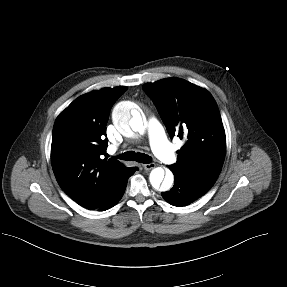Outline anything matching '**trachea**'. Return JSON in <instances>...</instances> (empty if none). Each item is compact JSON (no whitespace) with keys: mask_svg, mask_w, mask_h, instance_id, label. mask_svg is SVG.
<instances>
[{"mask_svg":"<svg viewBox=\"0 0 287 287\" xmlns=\"http://www.w3.org/2000/svg\"><path fill=\"white\" fill-rule=\"evenodd\" d=\"M118 158L125 161H136L144 164L151 162V157L148 155L139 152L135 153L134 151H127L121 154Z\"/></svg>","mask_w":287,"mask_h":287,"instance_id":"obj_1","label":"trachea"}]
</instances>
